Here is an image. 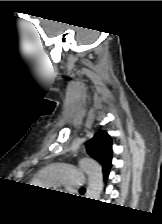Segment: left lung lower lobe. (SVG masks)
<instances>
[{"mask_svg": "<svg viewBox=\"0 0 162 224\" xmlns=\"http://www.w3.org/2000/svg\"><path fill=\"white\" fill-rule=\"evenodd\" d=\"M109 172L104 173V179L106 180L108 178Z\"/></svg>", "mask_w": 162, "mask_h": 224, "instance_id": "obj_1", "label": "left lung lower lobe"}]
</instances>
